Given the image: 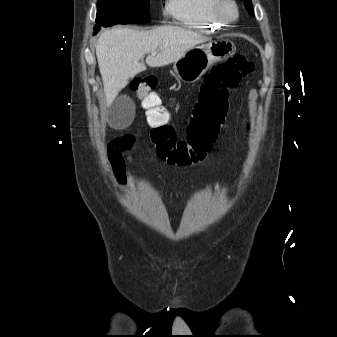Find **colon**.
Returning <instances> with one entry per match:
<instances>
[{
  "mask_svg": "<svg viewBox=\"0 0 337 337\" xmlns=\"http://www.w3.org/2000/svg\"><path fill=\"white\" fill-rule=\"evenodd\" d=\"M253 69V63L240 55L212 68L200 88L184 139L177 138L168 113L151 96L158 85L157 79L150 76L136 78L131 89L143 99L150 125V141L157 157L173 165H188L203 159L224 121L229 89L235 87Z\"/></svg>",
  "mask_w": 337,
  "mask_h": 337,
  "instance_id": "1",
  "label": "colon"
}]
</instances>
